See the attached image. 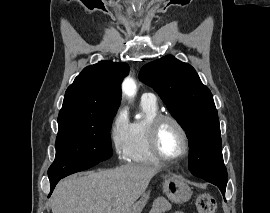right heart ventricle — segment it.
<instances>
[{
    "label": "right heart ventricle",
    "instance_id": "1",
    "mask_svg": "<svg viewBox=\"0 0 270 213\" xmlns=\"http://www.w3.org/2000/svg\"><path fill=\"white\" fill-rule=\"evenodd\" d=\"M141 108L144 117L134 120L129 124V139L126 150V160L134 164H146L157 162L148 147L147 130L150 121L158 114L159 107L156 102L141 99Z\"/></svg>",
    "mask_w": 270,
    "mask_h": 213
}]
</instances>
